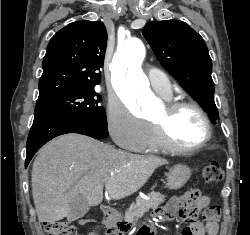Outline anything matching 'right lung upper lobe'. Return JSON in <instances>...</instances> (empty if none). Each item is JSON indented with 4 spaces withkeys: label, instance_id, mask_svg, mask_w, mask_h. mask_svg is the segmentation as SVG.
Listing matches in <instances>:
<instances>
[{
    "label": "right lung upper lobe",
    "instance_id": "right-lung-upper-lobe-1",
    "mask_svg": "<svg viewBox=\"0 0 250 235\" xmlns=\"http://www.w3.org/2000/svg\"><path fill=\"white\" fill-rule=\"evenodd\" d=\"M106 45V28L99 21H76L59 30L43 59L39 97L99 84Z\"/></svg>",
    "mask_w": 250,
    "mask_h": 235
}]
</instances>
